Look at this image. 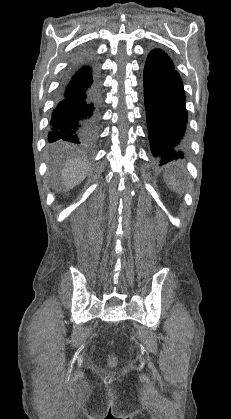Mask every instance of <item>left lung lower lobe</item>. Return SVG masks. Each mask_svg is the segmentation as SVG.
Here are the masks:
<instances>
[{
	"label": "left lung lower lobe",
	"instance_id": "1",
	"mask_svg": "<svg viewBox=\"0 0 231 419\" xmlns=\"http://www.w3.org/2000/svg\"><path fill=\"white\" fill-rule=\"evenodd\" d=\"M143 80L153 155L160 164L183 158L187 149L185 93L181 77L164 51L150 52Z\"/></svg>",
	"mask_w": 231,
	"mask_h": 419
}]
</instances>
